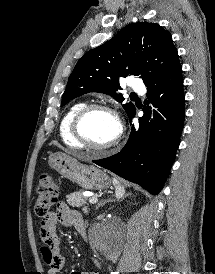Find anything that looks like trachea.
Segmentation results:
<instances>
[{
	"label": "trachea",
	"mask_w": 215,
	"mask_h": 274,
	"mask_svg": "<svg viewBox=\"0 0 215 274\" xmlns=\"http://www.w3.org/2000/svg\"><path fill=\"white\" fill-rule=\"evenodd\" d=\"M131 97H137V95L135 93H132Z\"/></svg>",
	"instance_id": "obj_1"
}]
</instances>
